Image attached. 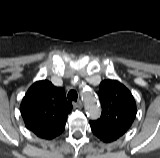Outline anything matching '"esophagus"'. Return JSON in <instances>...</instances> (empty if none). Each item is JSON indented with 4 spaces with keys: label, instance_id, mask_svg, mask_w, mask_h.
Here are the masks:
<instances>
[{
    "label": "esophagus",
    "instance_id": "obj_1",
    "mask_svg": "<svg viewBox=\"0 0 160 158\" xmlns=\"http://www.w3.org/2000/svg\"><path fill=\"white\" fill-rule=\"evenodd\" d=\"M73 104H74V106L77 107V108H82V107H83V103H82L81 100H79V101H77V102H74Z\"/></svg>",
    "mask_w": 160,
    "mask_h": 158
}]
</instances>
